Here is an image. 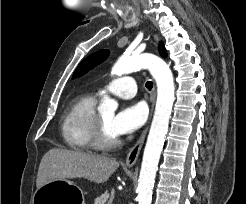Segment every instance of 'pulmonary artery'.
Masks as SVG:
<instances>
[{
	"label": "pulmonary artery",
	"mask_w": 246,
	"mask_h": 204,
	"mask_svg": "<svg viewBox=\"0 0 246 204\" xmlns=\"http://www.w3.org/2000/svg\"><path fill=\"white\" fill-rule=\"evenodd\" d=\"M103 89L120 98L130 99L136 95L137 83L134 77L123 76L112 80Z\"/></svg>",
	"instance_id": "e3ab8cb5"
}]
</instances>
